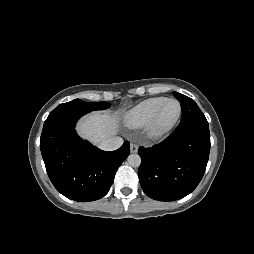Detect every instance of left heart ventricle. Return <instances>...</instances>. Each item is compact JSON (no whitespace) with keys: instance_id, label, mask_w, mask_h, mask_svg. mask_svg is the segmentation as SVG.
I'll use <instances>...</instances> for the list:
<instances>
[{"instance_id":"obj_1","label":"left heart ventricle","mask_w":254,"mask_h":254,"mask_svg":"<svg viewBox=\"0 0 254 254\" xmlns=\"http://www.w3.org/2000/svg\"><path fill=\"white\" fill-rule=\"evenodd\" d=\"M178 113V105L175 102H168L165 104L159 118V125L166 126L170 124Z\"/></svg>"}]
</instances>
